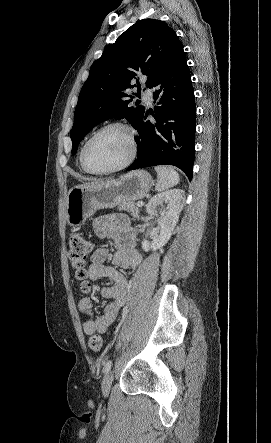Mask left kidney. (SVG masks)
Masks as SVG:
<instances>
[{
  "label": "left kidney",
  "instance_id": "1",
  "mask_svg": "<svg viewBox=\"0 0 271 443\" xmlns=\"http://www.w3.org/2000/svg\"><path fill=\"white\" fill-rule=\"evenodd\" d=\"M184 192L183 190H169V192H162L151 198L147 204V214L150 216H159V225H161L160 233L157 237H152V241L143 239L142 249L149 251V249H160L169 241L172 231L179 220V214L184 206ZM164 204H167L165 208Z\"/></svg>",
  "mask_w": 271,
  "mask_h": 443
}]
</instances>
